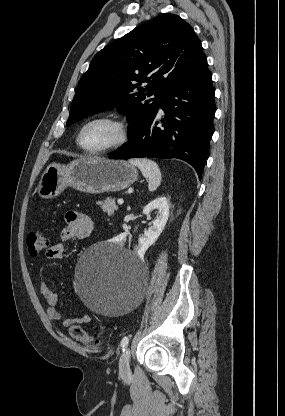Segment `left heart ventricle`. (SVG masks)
Returning <instances> with one entry per match:
<instances>
[{
    "label": "left heart ventricle",
    "mask_w": 285,
    "mask_h": 416,
    "mask_svg": "<svg viewBox=\"0 0 285 416\" xmlns=\"http://www.w3.org/2000/svg\"><path fill=\"white\" fill-rule=\"evenodd\" d=\"M115 139V128L106 122H95L89 125L82 134V144L91 150L105 148L111 145Z\"/></svg>",
    "instance_id": "b2bd125f"
}]
</instances>
